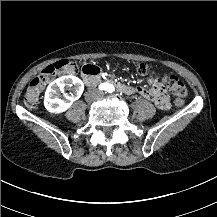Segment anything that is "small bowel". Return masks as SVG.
<instances>
[{"label":"small bowel","mask_w":217,"mask_h":217,"mask_svg":"<svg viewBox=\"0 0 217 217\" xmlns=\"http://www.w3.org/2000/svg\"><path fill=\"white\" fill-rule=\"evenodd\" d=\"M136 93L145 96L150 101L158 105L160 109L166 110L169 108L168 97L165 91L158 84H154L149 89H146L145 87H138L136 88Z\"/></svg>","instance_id":"1"}]
</instances>
